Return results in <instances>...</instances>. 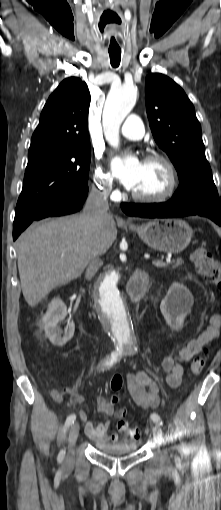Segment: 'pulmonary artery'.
<instances>
[{
    "label": "pulmonary artery",
    "mask_w": 221,
    "mask_h": 510,
    "mask_svg": "<svg viewBox=\"0 0 221 510\" xmlns=\"http://www.w3.org/2000/svg\"><path fill=\"white\" fill-rule=\"evenodd\" d=\"M120 132L127 139L138 140L143 137L145 130L140 117L132 114L128 116Z\"/></svg>",
    "instance_id": "pulmonary-artery-1"
}]
</instances>
